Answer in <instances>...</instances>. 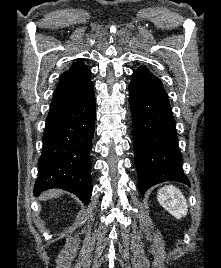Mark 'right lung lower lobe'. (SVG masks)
<instances>
[{
	"label": "right lung lower lobe",
	"instance_id": "98d812e1",
	"mask_svg": "<svg viewBox=\"0 0 221 268\" xmlns=\"http://www.w3.org/2000/svg\"><path fill=\"white\" fill-rule=\"evenodd\" d=\"M95 116L93 90L71 103L50 106L34 186L36 196L50 188H61L89 203Z\"/></svg>",
	"mask_w": 221,
	"mask_h": 268
}]
</instances>
